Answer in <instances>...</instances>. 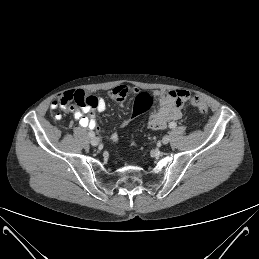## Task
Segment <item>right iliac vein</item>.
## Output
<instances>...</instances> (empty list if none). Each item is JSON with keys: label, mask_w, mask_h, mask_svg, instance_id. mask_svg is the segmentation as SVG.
Returning <instances> with one entry per match:
<instances>
[{"label": "right iliac vein", "mask_w": 259, "mask_h": 259, "mask_svg": "<svg viewBox=\"0 0 259 259\" xmlns=\"http://www.w3.org/2000/svg\"><path fill=\"white\" fill-rule=\"evenodd\" d=\"M92 146H97L99 144V139L97 137H93L90 140Z\"/></svg>", "instance_id": "right-iliac-vein-1"}]
</instances>
